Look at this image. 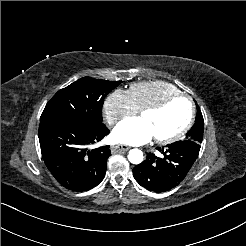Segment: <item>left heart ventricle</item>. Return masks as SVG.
Masks as SVG:
<instances>
[{
	"mask_svg": "<svg viewBox=\"0 0 246 246\" xmlns=\"http://www.w3.org/2000/svg\"><path fill=\"white\" fill-rule=\"evenodd\" d=\"M189 103L177 98L159 112H148L140 116L153 133L154 138H165L175 134L186 123L189 115Z\"/></svg>",
	"mask_w": 246,
	"mask_h": 246,
	"instance_id": "left-heart-ventricle-1",
	"label": "left heart ventricle"
}]
</instances>
